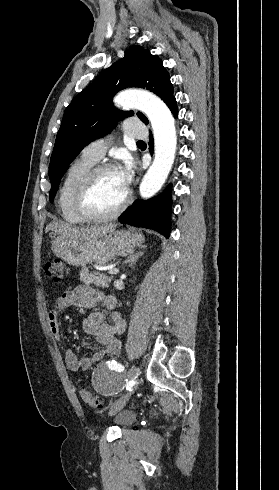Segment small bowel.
<instances>
[{"label": "small bowel", "mask_w": 279, "mask_h": 490, "mask_svg": "<svg viewBox=\"0 0 279 490\" xmlns=\"http://www.w3.org/2000/svg\"><path fill=\"white\" fill-rule=\"evenodd\" d=\"M97 305H102L110 312H91L82 319L81 323L83 330L94 336L101 347L81 359H78L71 349H65L64 360L70 371L86 370L106 356L119 355L121 351L119 335L125 330V320L120 313L114 310L116 300L113 296L106 295L89 286H78L63 292L54 300L53 306L47 314V323L51 334L56 340L61 341L60 313L68 306L93 309Z\"/></svg>", "instance_id": "small-bowel-1"}]
</instances>
